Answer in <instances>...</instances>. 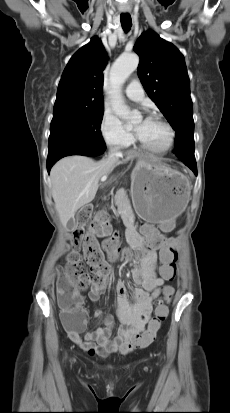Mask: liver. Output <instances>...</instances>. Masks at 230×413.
Segmentation results:
<instances>
[{
	"label": "liver",
	"mask_w": 230,
	"mask_h": 413,
	"mask_svg": "<svg viewBox=\"0 0 230 413\" xmlns=\"http://www.w3.org/2000/svg\"><path fill=\"white\" fill-rule=\"evenodd\" d=\"M119 163L118 158L108 157L95 162L76 155L65 157L52 167V197L64 227L78 209L95 198L101 177L108 176Z\"/></svg>",
	"instance_id": "obj_1"
}]
</instances>
